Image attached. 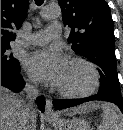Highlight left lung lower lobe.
Segmentation results:
<instances>
[{"label": "left lung lower lobe", "mask_w": 123, "mask_h": 130, "mask_svg": "<svg viewBox=\"0 0 123 130\" xmlns=\"http://www.w3.org/2000/svg\"><path fill=\"white\" fill-rule=\"evenodd\" d=\"M93 100H101V101L111 102V103L117 105L120 108L121 112L123 113V104H120L116 100L109 98L107 96L100 95V94H97V95L90 97V98H85V99L76 100V101L54 100L53 105H54L55 109L61 110L64 108L73 107V106L82 104L84 102L93 101Z\"/></svg>", "instance_id": "obj_1"}]
</instances>
